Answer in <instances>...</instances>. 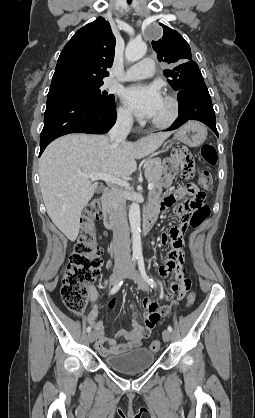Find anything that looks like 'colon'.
Wrapping results in <instances>:
<instances>
[{
    "label": "colon",
    "instance_id": "obj_1",
    "mask_svg": "<svg viewBox=\"0 0 255 418\" xmlns=\"http://www.w3.org/2000/svg\"><path fill=\"white\" fill-rule=\"evenodd\" d=\"M199 156L206 166L199 174L198 185L201 189L209 190L213 183L209 167L216 164L217 152L214 146L206 144L201 147ZM183 175L186 179L190 178L191 163H184ZM205 199L202 191L194 190L193 197L179 206L177 211L183 215V223L180 227H185L187 231L189 226L198 227L209 217L210 210L205 205ZM101 213L102 201L99 198L93 199L85 207L82 214L81 233L62 279L61 297L67 309L74 315H81L84 312L89 296V286L98 277L102 266L103 249L98 239L96 225ZM194 302L195 293L190 292L187 296V306H192ZM149 348L152 351H158L160 342L153 340Z\"/></svg>",
    "mask_w": 255,
    "mask_h": 418
}]
</instances>
